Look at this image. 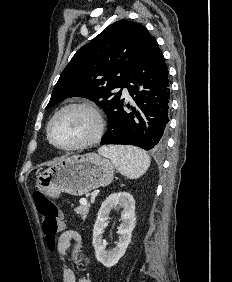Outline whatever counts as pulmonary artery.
<instances>
[{"label": "pulmonary artery", "instance_id": "1", "mask_svg": "<svg viewBox=\"0 0 232 282\" xmlns=\"http://www.w3.org/2000/svg\"><path fill=\"white\" fill-rule=\"evenodd\" d=\"M118 90H122L123 96H125V97H128V96H129L128 90H127L125 87H123V88H118Z\"/></svg>", "mask_w": 232, "mask_h": 282}]
</instances>
